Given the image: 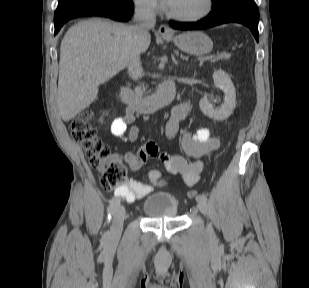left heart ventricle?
Wrapping results in <instances>:
<instances>
[{"label": "left heart ventricle", "instance_id": "left-heart-ventricle-1", "mask_svg": "<svg viewBox=\"0 0 309 288\" xmlns=\"http://www.w3.org/2000/svg\"><path fill=\"white\" fill-rule=\"evenodd\" d=\"M206 0H172L168 8L178 14L196 15L205 9Z\"/></svg>", "mask_w": 309, "mask_h": 288}]
</instances>
